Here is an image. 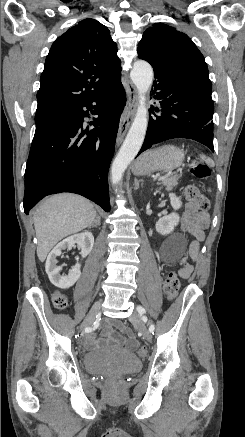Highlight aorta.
Masks as SVG:
<instances>
[{
	"mask_svg": "<svg viewBox=\"0 0 245 437\" xmlns=\"http://www.w3.org/2000/svg\"><path fill=\"white\" fill-rule=\"evenodd\" d=\"M130 76L138 91L139 104L134 121L111 167V181L114 185L121 181L126 168L139 152L148 125L146 93L153 81V69L146 61L138 60L134 62Z\"/></svg>",
	"mask_w": 245,
	"mask_h": 437,
	"instance_id": "obj_1",
	"label": "aorta"
}]
</instances>
